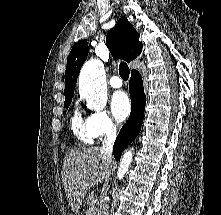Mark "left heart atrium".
<instances>
[{
	"label": "left heart atrium",
	"mask_w": 221,
	"mask_h": 215,
	"mask_svg": "<svg viewBox=\"0 0 221 215\" xmlns=\"http://www.w3.org/2000/svg\"><path fill=\"white\" fill-rule=\"evenodd\" d=\"M111 111L119 122L124 121L131 111L128 95L123 91L115 92L111 99Z\"/></svg>",
	"instance_id": "1"
}]
</instances>
